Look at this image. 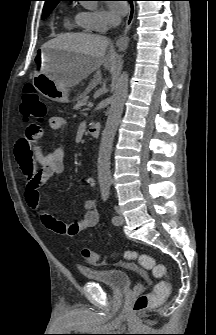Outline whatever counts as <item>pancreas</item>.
Returning <instances> with one entry per match:
<instances>
[{"label":"pancreas","instance_id":"obj_1","mask_svg":"<svg viewBox=\"0 0 216 335\" xmlns=\"http://www.w3.org/2000/svg\"><path fill=\"white\" fill-rule=\"evenodd\" d=\"M88 92L85 91L83 94H81L78 99H77V104L74 106L75 110L80 109L82 106L87 104L88 101V96H87Z\"/></svg>","mask_w":216,"mask_h":335}]
</instances>
